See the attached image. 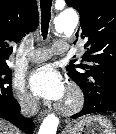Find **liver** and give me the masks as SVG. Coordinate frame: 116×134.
Returning <instances> with one entry per match:
<instances>
[{"instance_id":"liver-1","label":"liver","mask_w":116,"mask_h":134,"mask_svg":"<svg viewBox=\"0 0 116 134\" xmlns=\"http://www.w3.org/2000/svg\"><path fill=\"white\" fill-rule=\"evenodd\" d=\"M0 134H19V131L12 125L0 120Z\"/></svg>"}]
</instances>
